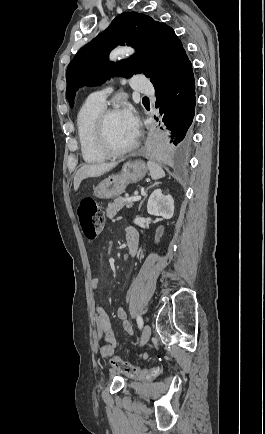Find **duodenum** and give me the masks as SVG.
I'll return each instance as SVG.
<instances>
[{
  "mask_svg": "<svg viewBox=\"0 0 265 434\" xmlns=\"http://www.w3.org/2000/svg\"><path fill=\"white\" fill-rule=\"evenodd\" d=\"M139 244L136 239H133L128 243V253L131 257L135 256L138 252Z\"/></svg>",
  "mask_w": 265,
  "mask_h": 434,
  "instance_id": "duodenum-1",
  "label": "duodenum"
}]
</instances>
